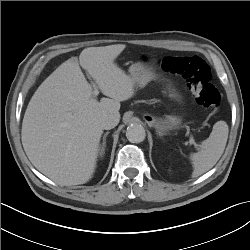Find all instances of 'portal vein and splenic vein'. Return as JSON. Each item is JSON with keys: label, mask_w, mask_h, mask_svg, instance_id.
I'll use <instances>...</instances> for the list:
<instances>
[{"label": "portal vein and splenic vein", "mask_w": 250, "mask_h": 250, "mask_svg": "<svg viewBox=\"0 0 250 250\" xmlns=\"http://www.w3.org/2000/svg\"><path fill=\"white\" fill-rule=\"evenodd\" d=\"M93 87H94L93 95L96 97V96L99 94V90H98V87H97L96 85H93ZM190 143L193 144V145L196 146V147L198 146V145L195 143L193 137H190Z\"/></svg>", "instance_id": "portal-vein-and-splenic-vein-1"}]
</instances>
